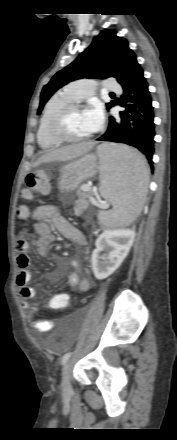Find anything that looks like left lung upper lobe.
<instances>
[{"label": "left lung upper lobe", "instance_id": "5c2ea615", "mask_svg": "<svg viewBox=\"0 0 177 440\" xmlns=\"http://www.w3.org/2000/svg\"><path fill=\"white\" fill-rule=\"evenodd\" d=\"M116 33L112 29L101 31L83 53L52 77L41 92L38 114L52 94L71 81L116 77L122 87L130 82L141 67L137 63L135 53L129 48L128 41L118 37ZM106 106L109 109L114 106V102L107 103Z\"/></svg>", "mask_w": 177, "mask_h": 440}]
</instances>
